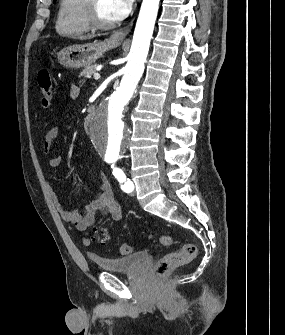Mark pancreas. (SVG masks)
<instances>
[{
    "label": "pancreas",
    "instance_id": "pancreas-1",
    "mask_svg": "<svg viewBox=\"0 0 285 335\" xmlns=\"http://www.w3.org/2000/svg\"><path fill=\"white\" fill-rule=\"evenodd\" d=\"M98 64H90V66H84V70L81 72V76L83 81H90V74H94L96 72Z\"/></svg>",
    "mask_w": 285,
    "mask_h": 335
}]
</instances>
